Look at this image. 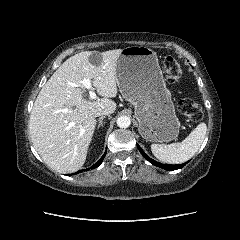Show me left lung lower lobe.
Returning <instances> with one entry per match:
<instances>
[{"instance_id": "1", "label": "left lung lower lobe", "mask_w": 240, "mask_h": 240, "mask_svg": "<svg viewBox=\"0 0 240 240\" xmlns=\"http://www.w3.org/2000/svg\"><path fill=\"white\" fill-rule=\"evenodd\" d=\"M137 148L139 149L140 153L143 155V157L145 159H147L149 162H151L153 165L155 166H158L160 168H163V169H166V170H177V169H180L182 168L186 163L184 164H181V165H170V164H161V163H158L156 161H154L153 159H151L149 156H147L145 154V152L140 148V146L137 144Z\"/></svg>"}]
</instances>
